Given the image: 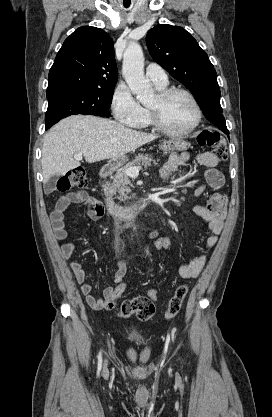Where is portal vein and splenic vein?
Wrapping results in <instances>:
<instances>
[{
	"label": "portal vein and splenic vein",
	"instance_id": "18ae733b",
	"mask_svg": "<svg viewBox=\"0 0 272 417\" xmlns=\"http://www.w3.org/2000/svg\"><path fill=\"white\" fill-rule=\"evenodd\" d=\"M74 159L82 160V154H75ZM140 169H141L140 166L130 167L125 170V174L128 176H136L139 174Z\"/></svg>",
	"mask_w": 272,
	"mask_h": 417
}]
</instances>
